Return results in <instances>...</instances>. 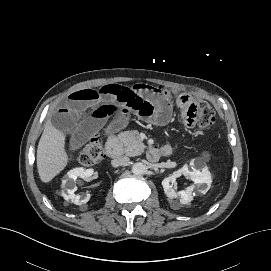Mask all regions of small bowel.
I'll use <instances>...</instances> for the list:
<instances>
[{
  "instance_id": "obj_1",
  "label": "small bowel",
  "mask_w": 271,
  "mask_h": 271,
  "mask_svg": "<svg viewBox=\"0 0 271 271\" xmlns=\"http://www.w3.org/2000/svg\"><path fill=\"white\" fill-rule=\"evenodd\" d=\"M168 96L166 90L146 84L133 87L109 84L96 89L77 90L55 111L48 131L61 133L69 148L75 150L97 131L104 129L112 133L125 128L130 115L165 125L172 112ZM112 116L115 120L108 123ZM162 152L167 154L170 148L165 146Z\"/></svg>"
}]
</instances>
